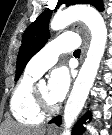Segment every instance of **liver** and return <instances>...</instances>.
I'll return each mask as SVG.
<instances>
[{
    "mask_svg": "<svg viewBox=\"0 0 112 135\" xmlns=\"http://www.w3.org/2000/svg\"><path fill=\"white\" fill-rule=\"evenodd\" d=\"M3 128L2 135H45L46 130L45 127L25 128L11 121L6 122Z\"/></svg>",
    "mask_w": 112,
    "mask_h": 135,
    "instance_id": "obj_1",
    "label": "liver"
}]
</instances>
